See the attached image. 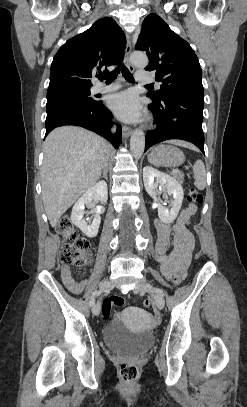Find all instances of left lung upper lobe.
Returning <instances> with one entry per match:
<instances>
[{
  "label": "left lung upper lobe",
  "instance_id": "5c2ea615",
  "mask_svg": "<svg viewBox=\"0 0 247 407\" xmlns=\"http://www.w3.org/2000/svg\"><path fill=\"white\" fill-rule=\"evenodd\" d=\"M136 50L146 51L147 71H155V79L162 82L160 90L148 92L154 103L168 95L182 93L204 97L201 68L190 45L173 32L156 14H149L143 21Z\"/></svg>",
  "mask_w": 247,
  "mask_h": 407
}]
</instances>
